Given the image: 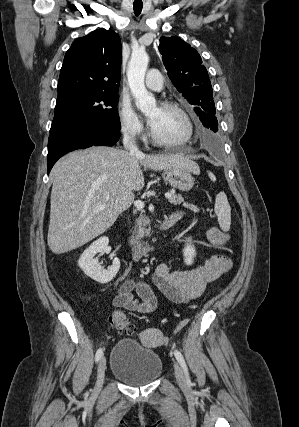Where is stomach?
<instances>
[{
  "mask_svg": "<svg viewBox=\"0 0 299 427\" xmlns=\"http://www.w3.org/2000/svg\"><path fill=\"white\" fill-rule=\"evenodd\" d=\"M164 180L173 188L182 192L189 191L194 185V178L191 171L184 168H169L163 172Z\"/></svg>",
  "mask_w": 299,
  "mask_h": 427,
  "instance_id": "0dacf381",
  "label": "stomach"
}]
</instances>
